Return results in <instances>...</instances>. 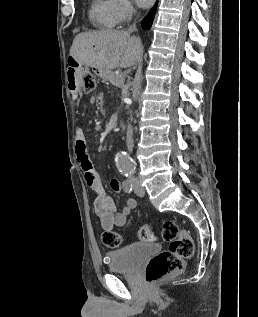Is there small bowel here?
Here are the masks:
<instances>
[{"label":"small bowel","instance_id":"small-bowel-1","mask_svg":"<svg viewBox=\"0 0 258 317\" xmlns=\"http://www.w3.org/2000/svg\"><path fill=\"white\" fill-rule=\"evenodd\" d=\"M75 152L77 161L84 173L85 181L93 194L94 209L101 227L105 231H112L116 227L124 226L127 217L137 203L134 199H128L120 211L116 210L114 200L105 191L100 175L90 160L85 131L81 126H77L75 129ZM110 187L114 192H120L123 186L117 178H114L110 181Z\"/></svg>","mask_w":258,"mask_h":317}]
</instances>
